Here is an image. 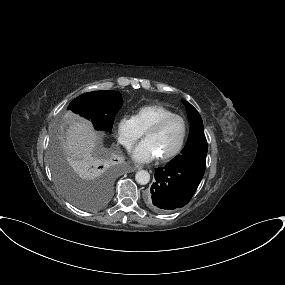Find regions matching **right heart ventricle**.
Returning <instances> with one entry per match:
<instances>
[{"mask_svg":"<svg viewBox=\"0 0 285 285\" xmlns=\"http://www.w3.org/2000/svg\"><path fill=\"white\" fill-rule=\"evenodd\" d=\"M172 114L171 110L160 104H149L139 107L133 117L139 130L144 132L161 118Z\"/></svg>","mask_w":285,"mask_h":285,"instance_id":"e07e8e85","label":"right heart ventricle"}]
</instances>
